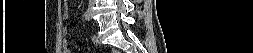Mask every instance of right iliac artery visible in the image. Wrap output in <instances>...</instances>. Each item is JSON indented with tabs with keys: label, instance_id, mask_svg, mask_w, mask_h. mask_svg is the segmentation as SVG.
<instances>
[{
	"label": "right iliac artery",
	"instance_id": "right-iliac-artery-1",
	"mask_svg": "<svg viewBox=\"0 0 253 53\" xmlns=\"http://www.w3.org/2000/svg\"><path fill=\"white\" fill-rule=\"evenodd\" d=\"M84 17H85V20L90 21L91 16L88 10L85 12Z\"/></svg>",
	"mask_w": 253,
	"mask_h": 53
}]
</instances>
